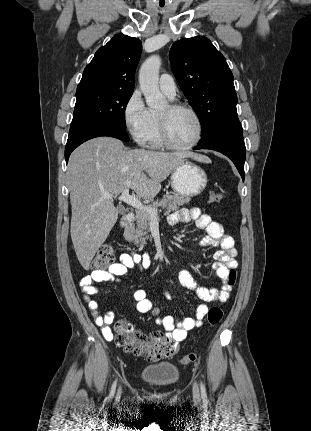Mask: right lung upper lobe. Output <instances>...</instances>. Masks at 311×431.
Masks as SVG:
<instances>
[{"label": "right lung upper lobe", "instance_id": "cb5924a9", "mask_svg": "<svg viewBox=\"0 0 311 431\" xmlns=\"http://www.w3.org/2000/svg\"><path fill=\"white\" fill-rule=\"evenodd\" d=\"M141 51L139 39L123 34L114 36L86 66L77 91L95 88L133 92Z\"/></svg>", "mask_w": 311, "mask_h": 431}]
</instances>
